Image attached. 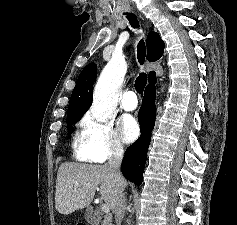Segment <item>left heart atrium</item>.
<instances>
[{"label":"left heart atrium","instance_id":"39dd6f15","mask_svg":"<svg viewBox=\"0 0 237 225\" xmlns=\"http://www.w3.org/2000/svg\"><path fill=\"white\" fill-rule=\"evenodd\" d=\"M120 131L124 141L131 143L139 136L140 128L134 117L124 115L120 120Z\"/></svg>","mask_w":237,"mask_h":225}]
</instances>
